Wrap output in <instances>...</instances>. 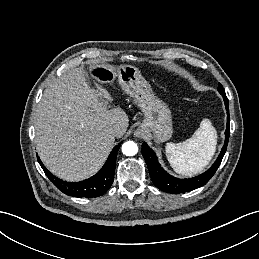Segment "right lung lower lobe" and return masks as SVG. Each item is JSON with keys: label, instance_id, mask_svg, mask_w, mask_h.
<instances>
[{"label": "right lung lower lobe", "instance_id": "obj_1", "mask_svg": "<svg viewBox=\"0 0 259 259\" xmlns=\"http://www.w3.org/2000/svg\"><path fill=\"white\" fill-rule=\"evenodd\" d=\"M120 145L118 144L113 148L105 165L96 175L80 182H66L55 177L44 167L39 157L37 158L47 177L60 191L73 197L92 198L104 194L111 187L114 179L116 156Z\"/></svg>", "mask_w": 259, "mask_h": 259}]
</instances>
